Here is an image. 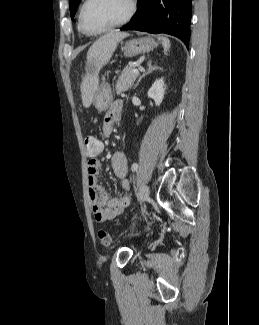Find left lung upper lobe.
<instances>
[{
	"label": "left lung upper lobe",
	"instance_id": "obj_1",
	"mask_svg": "<svg viewBox=\"0 0 259 325\" xmlns=\"http://www.w3.org/2000/svg\"><path fill=\"white\" fill-rule=\"evenodd\" d=\"M69 2H70V14H71V18H73L80 0H69Z\"/></svg>",
	"mask_w": 259,
	"mask_h": 325
}]
</instances>
